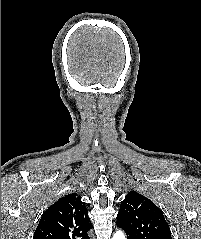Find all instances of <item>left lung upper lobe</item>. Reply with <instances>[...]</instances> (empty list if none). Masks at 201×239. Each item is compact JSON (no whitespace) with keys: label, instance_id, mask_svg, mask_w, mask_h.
<instances>
[{"label":"left lung upper lobe","instance_id":"5c2ea615","mask_svg":"<svg viewBox=\"0 0 201 239\" xmlns=\"http://www.w3.org/2000/svg\"><path fill=\"white\" fill-rule=\"evenodd\" d=\"M116 223L131 239H172L162 211L135 191L122 201Z\"/></svg>","mask_w":201,"mask_h":239}]
</instances>
